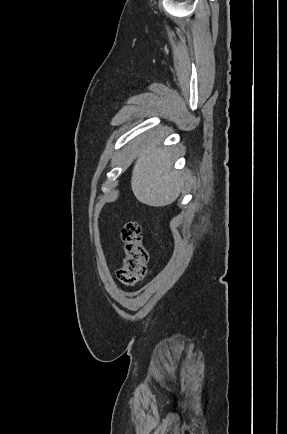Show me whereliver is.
Wrapping results in <instances>:
<instances>
[{
    "label": "liver",
    "instance_id": "liver-1",
    "mask_svg": "<svg viewBox=\"0 0 287 434\" xmlns=\"http://www.w3.org/2000/svg\"><path fill=\"white\" fill-rule=\"evenodd\" d=\"M171 154L160 147L157 138L146 139L135 162L131 185L136 198L143 204L163 207L180 195L184 181L172 169Z\"/></svg>",
    "mask_w": 287,
    "mask_h": 434
}]
</instances>
